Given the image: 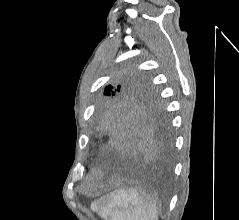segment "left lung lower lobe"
<instances>
[{
  "mask_svg": "<svg viewBox=\"0 0 239 220\" xmlns=\"http://www.w3.org/2000/svg\"><path fill=\"white\" fill-rule=\"evenodd\" d=\"M96 127L103 139L108 166L141 161L163 163L169 157L171 140L161 112L115 106L99 114Z\"/></svg>",
  "mask_w": 239,
  "mask_h": 220,
  "instance_id": "obj_1",
  "label": "left lung lower lobe"
}]
</instances>
